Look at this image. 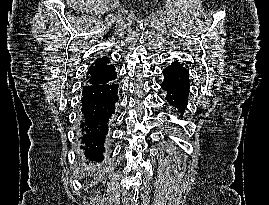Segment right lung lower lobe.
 <instances>
[{
  "mask_svg": "<svg viewBox=\"0 0 269 205\" xmlns=\"http://www.w3.org/2000/svg\"><path fill=\"white\" fill-rule=\"evenodd\" d=\"M117 101L118 84L114 81L83 87L79 140L89 166L97 167L104 158L105 137Z\"/></svg>",
  "mask_w": 269,
  "mask_h": 205,
  "instance_id": "obj_1",
  "label": "right lung lower lobe"
}]
</instances>
